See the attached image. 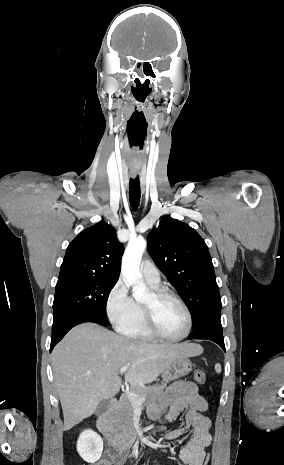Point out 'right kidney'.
<instances>
[{
  "label": "right kidney",
  "mask_w": 284,
  "mask_h": 465,
  "mask_svg": "<svg viewBox=\"0 0 284 465\" xmlns=\"http://www.w3.org/2000/svg\"><path fill=\"white\" fill-rule=\"evenodd\" d=\"M77 451L87 463L99 461L103 451V441L94 431H83L77 441Z\"/></svg>",
  "instance_id": "right-kidney-1"
}]
</instances>
